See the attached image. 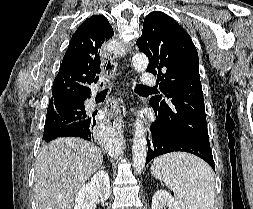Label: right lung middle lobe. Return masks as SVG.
I'll list each match as a JSON object with an SVG mask.
<instances>
[{"label": "right lung middle lobe", "instance_id": "right-lung-middle-lobe-1", "mask_svg": "<svg viewBox=\"0 0 253 209\" xmlns=\"http://www.w3.org/2000/svg\"><path fill=\"white\" fill-rule=\"evenodd\" d=\"M87 117L85 108L79 105L48 109L44 132L57 130L65 125L87 119Z\"/></svg>", "mask_w": 253, "mask_h": 209}]
</instances>
